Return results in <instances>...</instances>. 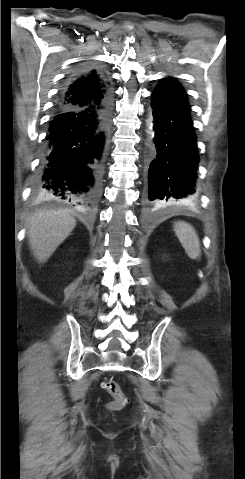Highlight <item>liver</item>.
<instances>
[{
    "label": "liver",
    "instance_id": "6515ba94",
    "mask_svg": "<svg viewBox=\"0 0 245 479\" xmlns=\"http://www.w3.org/2000/svg\"><path fill=\"white\" fill-rule=\"evenodd\" d=\"M75 226L76 219L67 210L36 212L27 224L29 245L36 260L45 263Z\"/></svg>",
    "mask_w": 245,
    "mask_h": 479
}]
</instances>
